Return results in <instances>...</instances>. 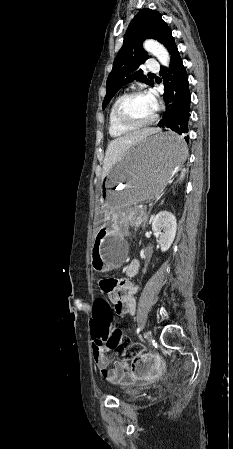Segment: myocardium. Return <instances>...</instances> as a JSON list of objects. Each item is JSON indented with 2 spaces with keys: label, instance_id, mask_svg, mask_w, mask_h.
<instances>
[{
  "label": "myocardium",
  "instance_id": "obj_1",
  "mask_svg": "<svg viewBox=\"0 0 233 449\" xmlns=\"http://www.w3.org/2000/svg\"><path fill=\"white\" fill-rule=\"evenodd\" d=\"M138 95H148V93L143 90H133V91H130V92H127V93L121 95L115 102V105L113 108V116H114L115 121L123 128H127L130 130L146 128V127L152 125L157 119V111H158L157 105H155V111H154V114L152 115V117L145 122H140V123L130 122L129 120L125 119L121 115V106H122L123 102L130 97L138 96Z\"/></svg>",
  "mask_w": 233,
  "mask_h": 449
}]
</instances>
